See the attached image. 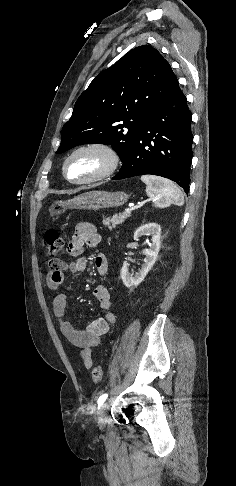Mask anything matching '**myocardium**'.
Wrapping results in <instances>:
<instances>
[{
    "mask_svg": "<svg viewBox=\"0 0 236 486\" xmlns=\"http://www.w3.org/2000/svg\"><path fill=\"white\" fill-rule=\"evenodd\" d=\"M84 151H97L101 153L105 158V165L104 168L98 172L97 174L82 180H73L68 176L67 167L70 160L77 155L78 153ZM121 158L118 151L110 144L104 142H91L87 144H83L77 148H75L64 160L62 172L64 178L70 182L71 184L75 185H87L92 184L101 180H104L110 177L119 167Z\"/></svg>",
    "mask_w": 236,
    "mask_h": 486,
    "instance_id": "obj_1",
    "label": "myocardium"
}]
</instances>
